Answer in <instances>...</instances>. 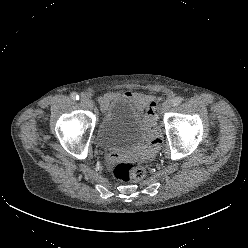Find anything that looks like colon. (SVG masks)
Here are the masks:
<instances>
[{
  "label": "colon",
  "mask_w": 248,
  "mask_h": 248,
  "mask_svg": "<svg viewBox=\"0 0 248 248\" xmlns=\"http://www.w3.org/2000/svg\"><path fill=\"white\" fill-rule=\"evenodd\" d=\"M156 102H154L148 112L147 116L149 120H155L154 107ZM146 165L142 161H128V162H119L115 164L112 168V174L116 180L120 182L130 183L136 182L142 179L146 173Z\"/></svg>",
  "instance_id": "1"
}]
</instances>
